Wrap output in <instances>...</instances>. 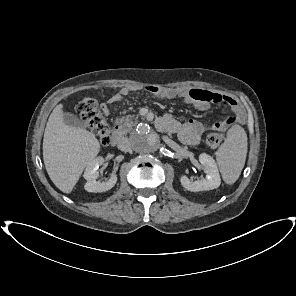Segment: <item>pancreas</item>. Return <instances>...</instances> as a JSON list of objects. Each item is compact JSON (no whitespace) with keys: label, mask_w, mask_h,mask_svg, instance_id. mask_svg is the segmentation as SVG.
I'll return each mask as SVG.
<instances>
[{"label":"pancreas","mask_w":296,"mask_h":296,"mask_svg":"<svg viewBox=\"0 0 296 296\" xmlns=\"http://www.w3.org/2000/svg\"><path fill=\"white\" fill-rule=\"evenodd\" d=\"M135 119L131 115H126V116H121L115 120V125L118 126V131L124 135L127 134L132 130V127L134 126V121Z\"/></svg>","instance_id":"1"}]
</instances>
